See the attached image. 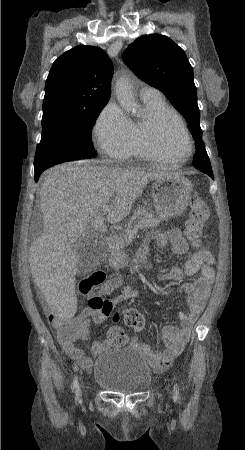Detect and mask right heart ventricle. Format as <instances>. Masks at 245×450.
<instances>
[{"mask_svg":"<svg viewBox=\"0 0 245 450\" xmlns=\"http://www.w3.org/2000/svg\"><path fill=\"white\" fill-rule=\"evenodd\" d=\"M141 100L145 106L146 116L133 123V149L131 155L138 160L169 161V158L156 154L148 147L146 129L154 119L162 115H170L183 123L182 118L161 95Z\"/></svg>","mask_w":245,"mask_h":450,"instance_id":"obj_1","label":"right heart ventricle"}]
</instances>
